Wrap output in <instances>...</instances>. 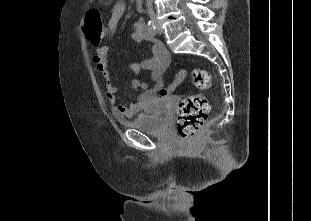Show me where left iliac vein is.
Listing matches in <instances>:
<instances>
[{
    "instance_id": "4c4485c4",
    "label": "left iliac vein",
    "mask_w": 311,
    "mask_h": 221,
    "mask_svg": "<svg viewBox=\"0 0 311 221\" xmlns=\"http://www.w3.org/2000/svg\"><path fill=\"white\" fill-rule=\"evenodd\" d=\"M155 24H156L157 32H158L159 34H161V33H162V28H161V26L159 25V23H158L157 21L155 22Z\"/></svg>"
}]
</instances>
